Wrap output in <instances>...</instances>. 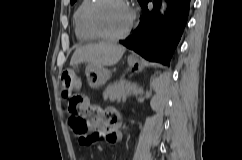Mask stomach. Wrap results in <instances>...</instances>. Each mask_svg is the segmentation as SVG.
<instances>
[{"label":"stomach","mask_w":242,"mask_h":160,"mask_svg":"<svg viewBox=\"0 0 242 160\" xmlns=\"http://www.w3.org/2000/svg\"><path fill=\"white\" fill-rule=\"evenodd\" d=\"M128 65L131 69H135L137 72L141 71L142 69L140 62L134 57L128 58ZM85 74L88 85L92 89H97L104 85L110 78V70L104 66H92L88 64Z\"/></svg>","instance_id":"0dacf381"}]
</instances>
